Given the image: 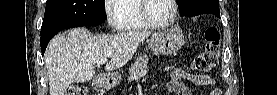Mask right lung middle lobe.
<instances>
[{"label": "right lung middle lobe", "mask_w": 277, "mask_h": 95, "mask_svg": "<svg viewBox=\"0 0 277 95\" xmlns=\"http://www.w3.org/2000/svg\"><path fill=\"white\" fill-rule=\"evenodd\" d=\"M106 20L103 0H47L41 34L94 26Z\"/></svg>", "instance_id": "right-lung-middle-lobe-1"}]
</instances>
